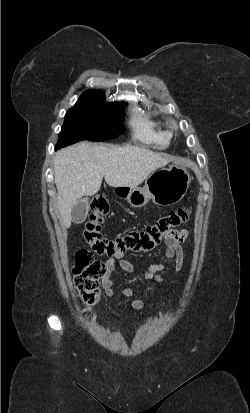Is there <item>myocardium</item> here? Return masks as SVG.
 <instances>
[{
  "label": "myocardium",
  "mask_w": 250,
  "mask_h": 413,
  "mask_svg": "<svg viewBox=\"0 0 250 413\" xmlns=\"http://www.w3.org/2000/svg\"><path fill=\"white\" fill-rule=\"evenodd\" d=\"M166 125L171 129V130H176L177 129V121L174 119H168L166 121Z\"/></svg>",
  "instance_id": "myocardium-1"
}]
</instances>
